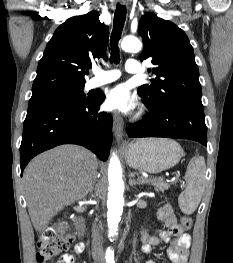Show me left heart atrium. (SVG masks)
<instances>
[{"mask_svg": "<svg viewBox=\"0 0 233 263\" xmlns=\"http://www.w3.org/2000/svg\"><path fill=\"white\" fill-rule=\"evenodd\" d=\"M104 105L109 111L129 113L135 109L136 100L127 87L120 84L108 91Z\"/></svg>", "mask_w": 233, "mask_h": 263, "instance_id": "39dd6f15", "label": "left heart atrium"}]
</instances>
